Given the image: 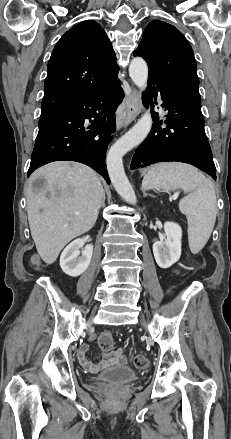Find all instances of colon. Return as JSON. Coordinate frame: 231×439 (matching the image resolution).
I'll list each match as a JSON object with an SVG mask.
<instances>
[{
	"label": "colon",
	"instance_id": "5ec220e1",
	"mask_svg": "<svg viewBox=\"0 0 231 439\" xmlns=\"http://www.w3.org/2000/svg\"><path fill=\"white\" fill-rule=\"evenodd\" d=\"M99 345L104 350H109L113 346V337L110 332H103L99 338ZM133 365L136 369L142 370L145 369L148 365V359L147 357L142 354L138 353L133 358ZM109 392V390H108Z\"/></svg>",
	"mask_w": 231,
	"mask_h": 439
}]
</instances>
